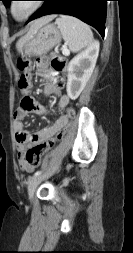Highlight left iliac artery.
Here are the masks:
<instances>
[{"instance_id":"obj_1","label":"left iliac artery","mask_w":133,"mask_h":253,"mask_svg":"<svg viewBox=\"0 0 133 253\" xmlns=\"http://www.w3.org/2000/svg\"><path fill=\"white\" fill-rule=\"evenodd\" d=\"M41 173H42V171H37V172L34 173L33 177H36V176H38V175H41Z\"/></svg>"}]
</instances>
